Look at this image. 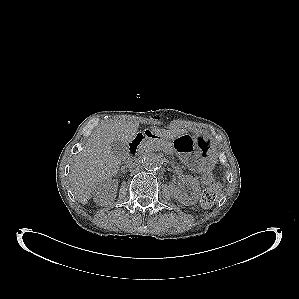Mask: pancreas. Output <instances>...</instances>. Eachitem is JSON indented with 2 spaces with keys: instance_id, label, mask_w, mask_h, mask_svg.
I'll list each match as a JSON object with an SVG mask.
<instances>
[{
  "instance_id": "pancreas-1",
  "label": "pancreas",
  "mask_w": 299,
  "mask_h": 299,
  "mask_svg": "<svg viewBox=\"0 0 299 299\" xmlns=\"http://www.w3.org/2000/svg\"><path fill=\"white\" fill-rule=\"evenodd\" d=\"M143 150L146 152L161 150L166 153H172V146L166 141L148 140L144 143Z\"/></svg>"
}]
</instances>
